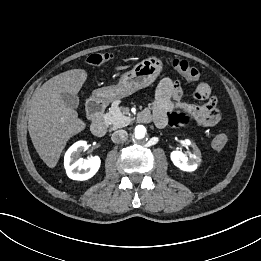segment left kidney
<instances>
[{"label":"left kidney","mask_w":261,"mask_h":261,"mask_svg":"<svg viewBox=\"0 0 261 261\" xmlns=\"http://www.w3.org/2000/svg\"><path fill=\"white\" fill-rule=\"evenodd\" d=\"M185 143L187 145H191L194 150L193 153L190 154L189 158L181 151H172L170 158L173 164L179 169L186 172H192L197 169L201 162V153L197 146L192 144L190 140H186Z\"/></svg>","instance_id":"obj_1"}]
</instances>
